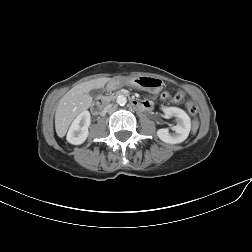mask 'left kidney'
I'll list each match as a JSON object with an SVG mask.
<instances>
[{"mask_svg":"<svg viewBox=\"0 0 252 252\" xmlns=\"http://www.w3.org/2000/svg\"><path fill=\"white\" fill-rule=\"evenodd\" d=\"M167 117H176L177 125L173 126L175 133L170 134L167 128L159 129L157 136L165 143L178 144L185 141L191 129V120L188 114L177 107H162Z\"/></svg>","mask_w":252,"mask_h":252,"instance_id":"1","label":"left kidney"}]
</instances>
